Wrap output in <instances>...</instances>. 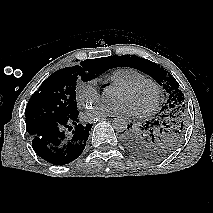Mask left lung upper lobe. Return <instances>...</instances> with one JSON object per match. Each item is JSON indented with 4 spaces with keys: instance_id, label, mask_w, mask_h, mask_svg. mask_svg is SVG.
Masks as SVG:
<instances>
[{
    "instance_id": "obj_1",
    "label": "left lung upper lobe",
    "mask_w": 213,
    "mask_h": 213,
    "mask_svg": "<svg viewBox=\"0 0 213 213\" xmlns=\"http://www.w3.org/2000/svg\"><path fill=\"white\" fill-rule=\"evenodd\" d=\"M114 67H132L154 78L166 91L167 101L159 115L150 123V129L141 135V151L138 156L160 160L175 151L186 128L185 98L178 82L158 64L136 55L111 56Z\"/></svg>"
}]
</instances>
